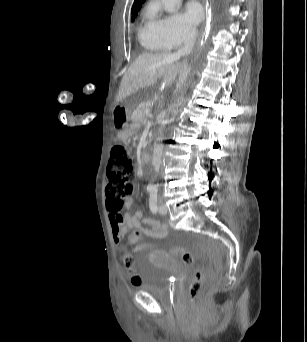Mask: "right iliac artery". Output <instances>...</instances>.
<instances>
[{"mask_svg": "<svg viewBox=\"0 0 307 342\" xmlns=\"http://www.w3.org/2000/svg\"><path fill=\"white\" fill-rule=\"evenodd\" d=\"M148 190H149V192H150V191L152 190V187H150Z\"/></svg>", "mask_w": 307, "mask_h": 342, "instance_id": "obj_1", "label": "right iliac artery"}]
</instances>
